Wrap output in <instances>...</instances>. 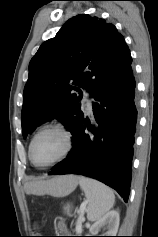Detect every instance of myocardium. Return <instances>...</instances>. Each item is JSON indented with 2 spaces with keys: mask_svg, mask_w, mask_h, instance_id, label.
I'll use <instances>...</instances> for the list:
<instances>
[{
  "mask_svg": "<svg viewBox=\"0 0 158 237\" xmlns=\"http://www.w3.org/2000/svg\"><path fill=\"white\" fill-rule=\"evenodd\" d=\"M46 131H57L60 134H62L65 139V148H64L63 152L56 159H54L46 164L40 165L34 161L33 155H32V149H33V145H34L36 138L40 134H42ZM72 148H73V138H72V134L68 130V128L61 123H53V124H48V125L43 126L33 135L32 139L30 141V144H29L28 155H29L30 162L32 163V165L34 167H36L38 169H46V168H49V167L59 163L63 159H65L71 152Z\"/></svg>",
  "mask_w": 158,
  "mask_h": 237,
  "instance_id": "1",
  "label": "myocardium"
}]
</instances>
